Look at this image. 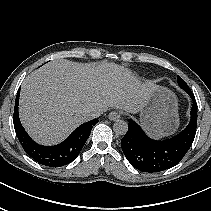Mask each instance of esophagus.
<instances>
[{
    "label": "esophagus",
    "mask_w": 211,
    "mask_h": 211,
    "mask_svg": "<svg viewBox=\"0 0 211 211\" xmlns=\"http://www.w3.org/2000/svg\"><path fill=\"white\" fill-rule=\"evenodd\" d=\"M108 118L111 121H116V120L121 118V113L118 112V111H112V112L109 113Z\"/></svg>",
    "instance_id": "obj_1"
}]
</instances>
